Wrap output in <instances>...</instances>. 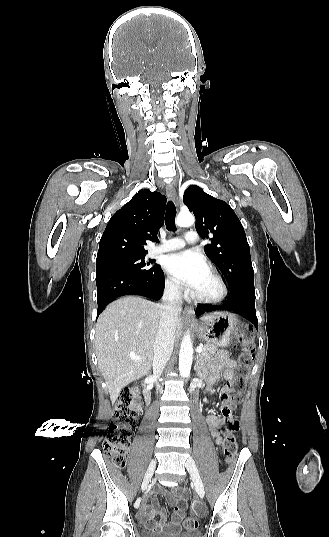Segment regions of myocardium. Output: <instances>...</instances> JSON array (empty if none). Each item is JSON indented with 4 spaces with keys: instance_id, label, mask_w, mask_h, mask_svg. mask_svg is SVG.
Wrapping results in <instances>:
<instances>
[{
    "instance_id": "1",
    "label": "myocardium",
    "mask_w": 329,
    "mask_h": 537,
    "mask_svg": "<svg viewBox=\"0 0 329 537\" xmlns=\"http://www.w3.org/2000/svg\"><path fill=\"white\" fill-rule=\"evenodd\" d=\"M208 272L212 275L218 285V292L214 295L205 296L198 293H194V298L201 303L214 304L221 302L228 295V287L221 274L213 267H207Z\"/></svg>"
}]
</instances>
